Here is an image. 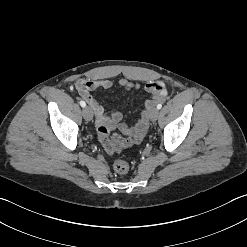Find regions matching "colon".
Returning <instances> with one entry per match:
<instances>
[{
    "label": "colon",
    "instance_id": "obj_1",
    "mask_svg": "<svg viewBox=\"0 0 247 247\" xmlns=\"http://www.w3.org/2000/svg\"><path fill=\"white\" fill-rule=\"evenodd\" d=\"M114 170L119 174H125L129 171V164L124 160H116L113 164Z\"/></svg>",
    "mask_w": 247,
    "mask_h": 247
}]
</instances>
